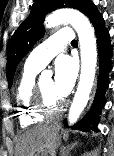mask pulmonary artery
I'll list each match as a JSON object with an SVG mask.
<instances>
[{
	"label": "pulmonary artery",
	"mask_w": 114,
	"mask_h": 156,
	"mask_svg": "<svg viewBox=\"0 0 114 156\" xmlns=\"http://www.w3.org/2000/svg\"><path fill=\"white\" fill-rule=\"evenodd\" d=\"M74 40V32L70 28H63L37 46L27 57L26 63L37 68H44L46 64L63 50L67 42Z\"/></svg>",
	"instance_id": "pulmonary-artery-1"
}]
</instances>
